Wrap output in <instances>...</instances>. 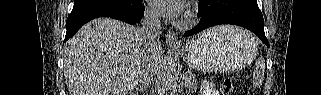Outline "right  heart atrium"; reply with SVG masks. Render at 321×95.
I'll return each instance as SVG.
<instances>
[{
    "label": "right heart atrium",
    "instance_id": "1",
    "mask_svg": "<svg viewBox=\"0 0 321 95\" xmlns=\"http://www.w3.org/2000/svg\"><path fill=\"white\" fill-rule=\"evenodd\" d=\"M148 14L152 16V15H153V12H152V11H148Z\"/></svg>",
    "mask_w": 321,
    "mask_h": 95
}]
</instances>
